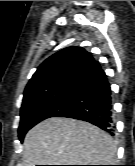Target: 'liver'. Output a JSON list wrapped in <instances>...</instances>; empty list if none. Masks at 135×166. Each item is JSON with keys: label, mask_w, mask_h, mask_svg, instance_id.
<instances>
[{"label": "liver", "mask_w": 135, "mask_h": 166, "mask_svg": "<svg viewBox=\"0 0 135 166\" xmlns=\"http://www.w3.org/2000/svg\"><path fill=\"white\" fill-rule=\"evenodd\" d=\"M117 147L100 128L71 118L52 117L25 136L24 166L113 165Z\"/></svg>", "instance_id": "1"}]
</instances>
